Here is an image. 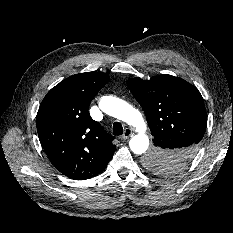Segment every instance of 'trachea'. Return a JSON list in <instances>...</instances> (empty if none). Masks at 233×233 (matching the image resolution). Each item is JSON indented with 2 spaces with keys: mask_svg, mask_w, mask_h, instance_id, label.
Returning <instances> with one entry per match:
<instances>
[{
  "mask_svg": "<svg viewBox=\"0 0 233 233\" xmlns=\"http://www.w3.org/2000/svg\"><path fill=\"white\" fill-rule=\"evenodd\" d=\"M122 133H123V127H122L121 123L115 122L113 124V134L115 136H119V135H122Z\"/></svg>",
  "mask_w": 233,
  "mask_h": 233,
  "instance_id": "1",
  "label": "trachea"
}]
</instances>
